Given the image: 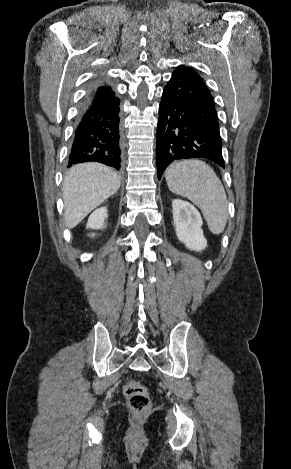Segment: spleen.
Masks as SVG:
<instances>
[{"label": "spleen", "instance_id": "obj_1", "mask_svg": "<svg viewBox=\"0 0 291 469\" xmlns=\"http://www.w3.org/2000/svg\"><path fill=\"white\" fill-rule=\"evenodd\" d=\"M171 192L184 196L201 210L210 231L218 235L226 227L228 202L225 189L214 170L201 160H184L165 171Z\"/></svg>", "mask_w": 291, "mask_h": 469}]
</instances>
